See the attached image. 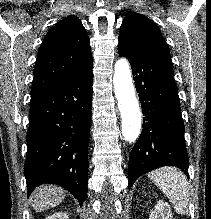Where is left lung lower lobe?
<instances>
[{
	"instance_id": "0a47b994",
	"label": "left lung lower lobe",
	"mask_w": 211,
	"mask_h": 219,
	"mask_svg": "<svg viewBox=\"0 0 211 219\" xmlns=\"http://www.w3.org/2000/svg\"><path fill=\"white\" fill-rule=\"evenodd\" d=\"M118 53L130 61L145 116L129 158V188L138 177L162 166H176L187 175L189 158L171 58L133 53L120 46Z\"/></svg>"
}]
</instances>
